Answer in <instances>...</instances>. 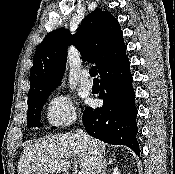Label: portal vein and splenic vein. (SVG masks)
I'll use <instances>...</instances> for the list:
<instances>
[{
    "mask_svg": "<svg viewBox=\"0 0 175 174\" xmlns=\"http://www.w3.org/2000/svg\"><path fill=\"white\" fill-rule=\"evenodd\" d=\"M79 174H84V172L81 171V172H79Z\"/></svg>",
    "mask_w": 175,
    "mask_h": 174,
    "instance_id": "obj_1",
    "label": "portal vein and splenic vein"
}]
</instances>
